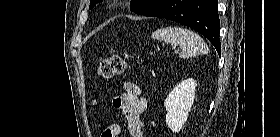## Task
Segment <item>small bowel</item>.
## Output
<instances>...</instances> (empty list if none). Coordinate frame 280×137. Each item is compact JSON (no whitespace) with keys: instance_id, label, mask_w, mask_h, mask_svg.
Returning a JSON list of instances; mask_svg holds the SVG:
<instances>
[{"instance_id":"c3829d8e","label":"small bowel","mask_w":280,"mask_h":137,"mask_svg":"<svg viewBox=\"0 0 280 137\" xmlns=\"http://www.w3.org/2000/svg\"><path fill=\"white\" fill-rule=\"evenodd\" d=\"M125 92L112 99V105L125 119L131 137H144L145 126L141 120V114L145 111L146 100L141 88L132 81L124 84ZM118 128L113 124L107 130ZM106 130V131H107Z\"/></svg>"}]
</instances>
